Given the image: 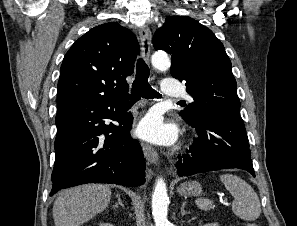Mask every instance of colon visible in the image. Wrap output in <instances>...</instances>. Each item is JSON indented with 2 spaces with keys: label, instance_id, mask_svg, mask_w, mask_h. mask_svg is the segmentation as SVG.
I'll use <instances>...</instances> for the list:
<instances>
[{
  "label": "colon",
  "instance_id": "obj_1",
  "mask_svg": "<svg viewBox=\"0 0 297 226\" xmlns=\"http://www.w3.org/2000/svg\"><path fill=\"white\" fill-rule=\"evenodd\" d=\"M246 226H258V224L255 222H250V223L246 224Z\"/></svg>",
  "mask_w": 297,
  "mask_h": 226
}]
</instances>
